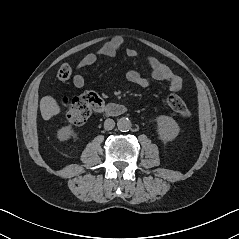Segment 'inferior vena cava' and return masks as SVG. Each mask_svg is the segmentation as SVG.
<instances>
[{
  "label": "inferior vena cava",
  "instance_id": "inferior-vena-cava-1",
  "mask_svg": "<svg viewBox=\"0 0 239 239\" xmlns=\"http://www.w3.org/2000/svg\"><path fill=\"white\" fill-rule=\"evenodd\" d=\"M115 127V122L113 119H106L105 122H104V129L105 130H112L113 128Z\"/></svg>",
  "mask_w": 239,
  "mask_h": 239
}]
</instances>
